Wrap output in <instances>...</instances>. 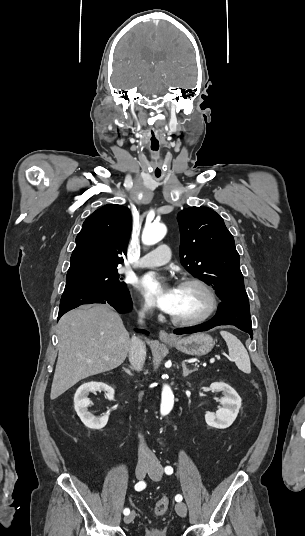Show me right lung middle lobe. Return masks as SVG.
Wrapping results in <instances>:
<instances>
[{"label":"right lung middle lobe","instance_id":"1","mask_svg":"<svg viewBox=\"0 0 305 536\" xmlns=\"http://www.w3.org/2000/svg\"><path fill=\"white\" fill-rule=\"evenodd\" d=\"M117 269L96 272L66 278L63 294L72 292H89L101 295H118L127 291V285L121 282Z\"/></svg>","mask_w":305,"mask_h":536}]
</instances>
